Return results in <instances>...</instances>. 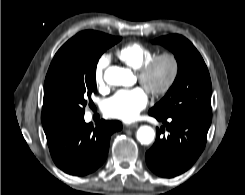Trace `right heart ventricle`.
Wrapping results in <instances>:
<instances>
[{
    "mask_svg": "<svg viewBox=\"0 0 245 195\" xmlns=\"http://www.w3.org/2000/svg\"><path fill=\"white\" fill-rule=\"evenodd\" d=\"M116 55L125 65L138 70L155 55V52L142 43L132 42L117 49Z\"/></svg>",
    "mask_w": 245,
    "mask_h": 195,
    "instance_id": "e07e8e85",
    "label": "right heart ventricle"
}]
</instances>
